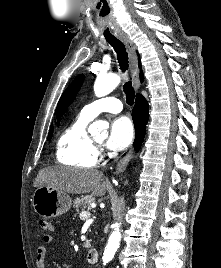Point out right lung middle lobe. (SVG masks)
Listing matches in <instances>:
<instances>
[{
	"label": "right lung middle lobe",
	"mask_w": 221,
	"mask_h": 268,
	"mask_svg": "<svg viewBox=\"0 0 221 268\" xmlns=\"http://www.w3.org/2000/svg\"><path fill=\"white\" fill-rule=\"evenodd\" d=\"M52 134H53V129H51V130H50V132H49V135H48V140H50V139H51Z\"/></svg>",
	"instance_id": "1"
}]
</instances>
